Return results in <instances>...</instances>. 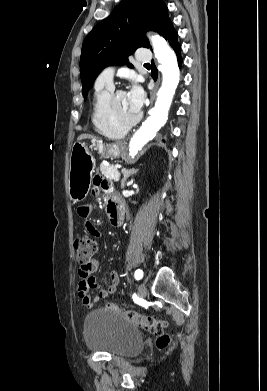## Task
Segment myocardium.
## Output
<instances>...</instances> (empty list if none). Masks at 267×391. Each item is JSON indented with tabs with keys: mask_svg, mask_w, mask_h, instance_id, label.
Listing matches in <instances>:
<instances>
[{
	"mask_svg": "<svg viewBox=\"0 0 267 391\" xmlns=\"http://www.w3.org/2000/svg\"><path fill=\"white\" fill-rule=\"evenodd\" d=\"M125 92L123 90H116L112 92L107 100V112L110 117V119L119 127L124 128V129H129L136 125L140 119H141V114H137V116L129 121H123L121 120L118 115L115 112L114 108V101L115 98L121 94H124Z\"/></svg>",
	"mask_w": 267,
	"mask_h": 391,
	"instance_id": "myocardium-1",
	"label": "myocardium"
}]
</instances>
